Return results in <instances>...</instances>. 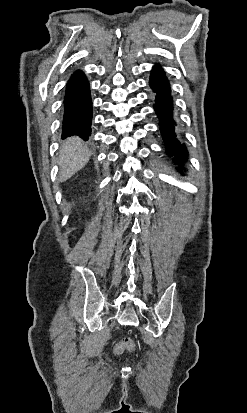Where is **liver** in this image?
Segmentation results:
<instances>
[{
  "label": "liver",
  "instance_id": "obj_1",
  "mask_svg": "<svg viewBox=\"0 0 247 413\" xmlns=\"http://www.w3.org/2000/svg\"><path fill=\"white\" fill-rule=\"evenodd\" d=\"M89 150L79 136H71L65 140L59 154V180H67L77 170L83 168L89 160Z\"/></svg>",
  "mask_w": 247,
  "mask_h": 413
}]
</instances>
